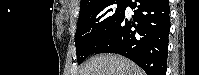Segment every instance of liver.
Returning <instances> with one entry per match:
<instances>
[{
    "label": "liver",
    "instance_id": "1",
    "mask_svg": "<svg viewBox=\"0 0 199 75\" xmlns=\"http://www.w3.org/2000/svg\"><path fill=\"white\" fill-rule=\"evenodd\" d=\"M77 75H145V73L123 56L101 54L81 67Z\"/></svg>",
    "mask_w": 199,
    "mask_h": 75
}]
</instances>
